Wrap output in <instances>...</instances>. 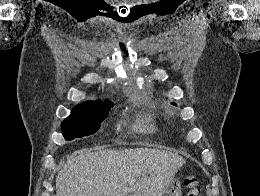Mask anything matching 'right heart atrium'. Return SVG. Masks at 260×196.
<instances>
[{"label": "right heart atrium", "mask_w": 260, "mask_h": 196, "mask_svg": "<svg viewBox=\"0 0 260 196\" xmlns=\"http://www.w3.org/2000/svg\"><path fill=\"white\" fill-rule=\"evenodd\" d=\"M131 192H153L152 190H130Z\"/></svg>", "instance_id": "right-heart-atrium-1"}]
</instances>
